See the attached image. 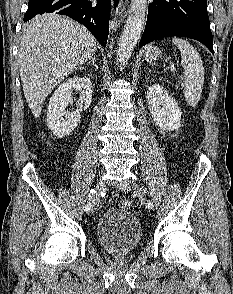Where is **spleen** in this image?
Returning a JSON list of instances; mask_svg holds the SVG:
<instances>
[{"mask_svg":"<svg viewBox=\"0 0 233 294\" xmlns=\"http://www.w3.org/2000/svg\"><path fill=\"white\" fill-rule=\"evenodd\" d=\"M181 54V63L185 79L178 81L183 88V94L189 106L195 107L201 97L204 84V66L196 49L186 40L173 38Z\"/></svg>","mask_w":233,"mask_h":294,"instance_id":"obj_1","label":"spleen"}]
</instances>
